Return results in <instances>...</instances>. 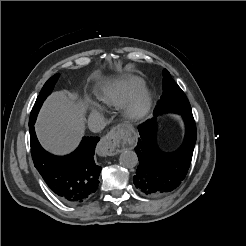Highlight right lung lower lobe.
Instances as JSON below:
<instances>
[{
	"instance_id": "obj_1",
	"label": "right lung lower lobe",
	"mask_w": 246,
	"mask_h": 246,
	"mask_svg": "<svg viewBox=\"0 0 246 246\" xmlns=\"http://www.w3.org/2000/svg\"><path fill=\"white\" fill-rule=\"evenodd\" d=\"M31 154L35 167L49 188L63 202L79 204L98 188L101 167L94 161L99 137H84L79 147L66 156H55L39 144L34 124L29 125Z\"/></svg>"
}]
</instances>
